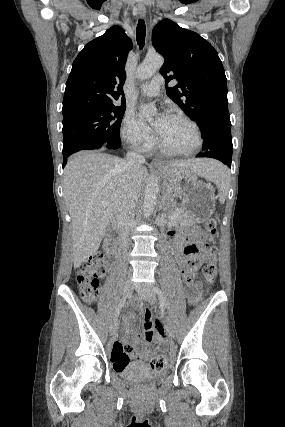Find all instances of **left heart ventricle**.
<instances>
[{
  "label": "left heart ventricle",
  "instance_id": "b2bd125f",
  "mask_svg": "<svg viewBox=\"0 0 285 427\" xmlns=\"http://www.w3.org/2000/svg\"><path fill=\"white\" fill-rule=\"evenodd\" d=\"M155 126L159 129L160 139L176 149L189 150L196 144L193 128L183 120L168 116L160 124L158 118Z\"/></svg>",
  "mask_w": 285,
  "mask_h": 427
}]
</instances>
